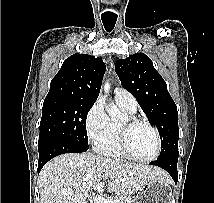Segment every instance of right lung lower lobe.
Segmentation results:
<instances>
[{"label":"right lung lower lobe","mask_w":214,"mask_h":203,"mask_svg":"<svg viewBox=\"0 0 214 203\" xmlns=\"http://www.w3.org/2000/svg\"><path fill=\"white\" fill-rule=\"evenodd\" d=\"M85 151L87 150L62 143L47 146L39 151L38 173L49 160L58 155L65 153H81Z\"/></svg>","instance_id":"obj_1"}]
</instances>
